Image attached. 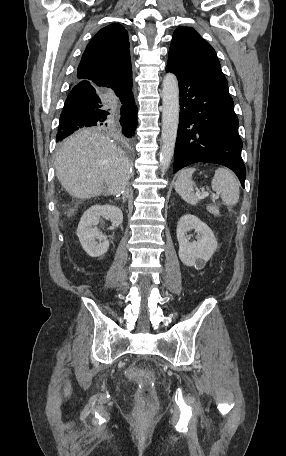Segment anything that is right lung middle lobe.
<instances>
[{
	"mask_svg": "<svg viewBox=\"0 0 286 456\" xmlns=\"http://www.w3.org/2000/svg\"><path fill=\"white\" fill-rule=\"evenodd\" d=\"M125 143V142H124ZM126 145H130L131 143H125Z\"/></svg>",
	"mask_w": 286,
	"mask_h": 456,
	"instance_id": "right-lung-middle-lobe-1",
	"label": "right lung middle lobe"
}]
</instances>
